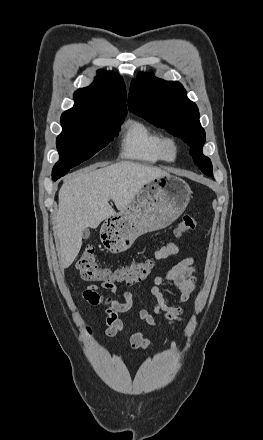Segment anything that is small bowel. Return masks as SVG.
I'll return each mask as SVG.
<instances>
[{"label": "small bowel", "instance_id": "obj_1", "mask_svg": "<svg viewBox=\"0 0 263 440\" xmlns=\"http://www.w3.org/2000/svg\"><path fill=\"white\" fill-rule=\"evenodd\" d=\"M179 247L175 243H169L154 252L156 260H164L178 253ZM172 283L175 290L173 302H187L196 288V276L194 259L191 257L176 262L165 275H156L150 287V294L154 300V311L170 323L181 320L184 309L180 306L170 305L164 295L162 287ZM101 289L111 292L116 287H109L105 284L87 285L81 292L82 299L91 306L104 305L105 310V333L108 337L123 335L129 337L130 346L133 350H145L150 345V340L145 338L141 332H134L128 335L124 331V324L119 318L120 314L129 312L134 304V297L130 291L123 292V301L111 296L103 298ZM137 315L148 325L157 327L159 321L146 309H137Z\"/></svg>", "mask_w": 263, "mask_h": 440}]
</instances>
